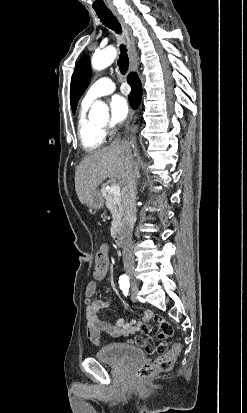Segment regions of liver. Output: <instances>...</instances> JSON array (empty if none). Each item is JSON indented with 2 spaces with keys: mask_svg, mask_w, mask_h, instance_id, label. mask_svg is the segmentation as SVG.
I'll return each instance as SVG.
<instances>
[{
  "mask_svg": "<svg viewBox=\"0 0 247 413\" xmlns=\"http://www.w3.org/2000/svg\"><path fill=\"white\" fill-rule=\"evenodd\" d=\"M127 152L122 142H111L100 150H93L82 158L75 170V190L84 204L91 192L109 176L122 178Z\"/></svg>",
  "mask_w": 247,
  "mask_h": 413,
  "instance_id": "liver-1",
  "label": "liver"
}]
</instances>
